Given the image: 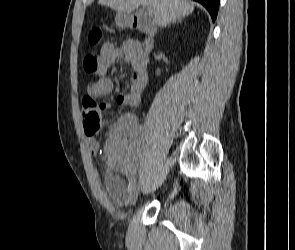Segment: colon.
<instances>
[{
	"mask_svg": "<svg viewBox=\"0 0 295 250\" xmlns=\"http://www.w3.org/2000/svg\"><path fill=\"white\" fill-rule=\"evenodd\" d=\"M101 39V32L97 29L90 33L89 41L91 44H97ZM83 67L88 74H98L99 59L94 54H87L83 59ZM102 108L93 100L86 96L83 99V127L87 136L91 137L97 134L103 126Z\"/></svg>",
	"mask_w": 295,
	"mask_h": 250,
	"instance_id": "1",
	"label": "colon"
}]
</instances>
